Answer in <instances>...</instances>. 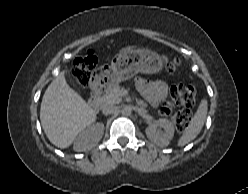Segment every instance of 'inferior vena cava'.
Listing matches in <instances>:
<instances>
[{
	"mask_svg": "<svg viewBox=\"0 0 248 194\" xmlns=\"http://www.w3.org/2000/svg\"><path fill=\"white\" fill-rule=\"evenodd\" d=\"M117 110V107L115 105H106L102 109V113L104 115H109L114 113Z\"/></svg>",
	"mask_w": 248,
	"mask_h": 194,
	"instance_id": "1",
	"label": "inferior vena cava"
}]
</instances>
